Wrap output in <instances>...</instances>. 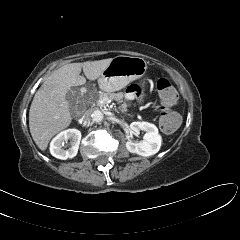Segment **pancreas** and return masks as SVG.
<instances>
[{
  "instance_id": "pancreas-1",
  "label": "pancreas",
  "mask_w": 240,
  "mask_h": 240,
  "mask_svg": "<svg viewBox=\"0 0 240 240\" xmlns=\"http://www.w3.org/2000/svg\"><path fill=\"white\" fill-rule=\"evenodd\" d=\"M102 98H108V99H114L116 100L118 103H121V105L119 106V110L122 113H125L127 111V104L123 101V93H104V92H98L97 94L91 96L89 98V103L91 104H96L98 106H101V104L99 103V100Z\"/></svg>"
}]
</instances>
